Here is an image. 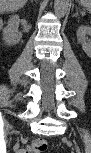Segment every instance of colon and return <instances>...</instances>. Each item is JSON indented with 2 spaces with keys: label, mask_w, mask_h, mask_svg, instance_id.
<instances>
[{
  "label": "colon",
  "mask_w": 91,
  "mask_h": 153,
  "mask_svg": "<svg viewBox=\"0 0 91 153\" xmlns=\"http://www.w3.org/2000/svg\"><path fill=\"white\" fill-rule=\"evenodd\" d=\"M48 149V142L45 139H34L32 140L27 148L24 150L25 153H43Z\"/></svg>",
  "instance_id": "obj_1"
}]
</instances>
